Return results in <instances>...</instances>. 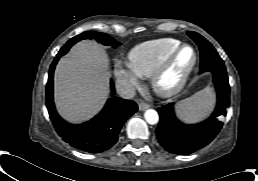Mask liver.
Masks as SVG:
<instances>
[{
    "label": "liver",
    "mask_w": 258,
    "mask_h": 181,
    "mask_svg": "<svg viewBox=\"0 0 258 181\" xmlns=\"http://www.w3.org/2000/svg\"><path fill=\"white\" fill-rule=\"evenodd\" d=\"M109 60L95 41L77 43L60 59L54 75V99L67 121L80 123L97 114L109 94Z\"/></svg>",
    "instance_id": "6515ba94"
}]
</instances>
